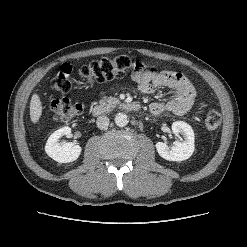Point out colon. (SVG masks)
Segmentation results:
<instances>
[{
	"mask_svg": "<svg viewBox=\"0 0 247 247\" xmlns=\"http://www.w3.org/2000/svg\"><path fill=\"white\" fill-rule=\"evenodd\" d=\"M130 69H139L145 73L156 74V69L146 65L142 60L121 55L92 61L79 70V76L89 84L104 83L124 77ZM74 81L73 67L64 64L53 77L51 87L55 92L65 95L72 89ZM198 105L200 108L204 107L202 102ZM50 108L57 120L69 121L83 111L84 104L71 102L66 97H59L51 101ZM204 122L208 129H216L221 124V115L218 111L209 110L205 114Z\"/></svg>",
	"mask_w": 247,
	"mask_h": 247,
	"instance_id": "obj_1",
	"label": "colon"
}]
</instances>
